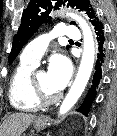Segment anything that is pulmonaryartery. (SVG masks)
I'll return each instance as SVG.
<instances>
[{
    "mask_svg": "<svg viewBox=\"0 0 117 136\" xmlns=\"http://www.w3.org/2000/svg\"><path fill=\"white\" fill-rule=\"evenodd\" d=\"M56 35L61 38L67 39H79L80 32L73 26L65 25L58 29ZM50 38L47 35L41 36L36 40L29 43L21 54V59L27 62L38 64L39 60L43 56L46 48L48 47Z\"/></svg>",
    "mask_w": 117,
    "mask_h": 136,
    "instance_id": "1",
    "label": "pulmonary artery"
}]
</instances>
